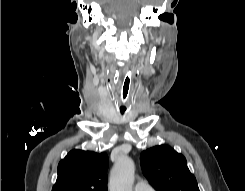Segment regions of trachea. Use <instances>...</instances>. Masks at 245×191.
I'll return each mask as SVG.
<instances>
[{
    "label": "trachea",
    "mask_w": 245,
    "mask_h": 191,
    "mask_svg": "<svg viewBox=\"0 0 245 191\" xmlns=\"http://www.w3.org/2000/svg\"><path fill=\"white\" fill-rule=\"evenodd\" d=\"M131 90V73L128 72L123 81L121 86V107L120 111L124 113L127 110L128 98Z\"/></svg>",
    "instance_id": "obj_1"
}]
</instances>
